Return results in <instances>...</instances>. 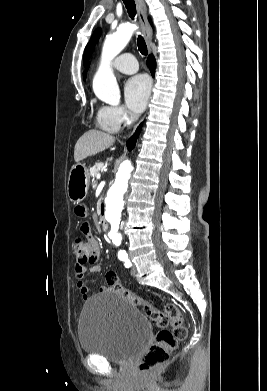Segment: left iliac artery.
Returning a JSON list of instances; mask_svg holds the SVG:
<instances>
[{
	"instance_id": "1",
	"label": "left iliac artery",
	"mask_w": 267,
	"mask_h": 391,
	"mask_svg": "<svg viewBox=\"0 0 267 391\" xmlns=\"http://www.w3.org/2000/svg\"><path fill=\"white\" fill-rule=\"evenodd\" d=\"M121 260H123V259H125V258H127V255H123V256H121V257H119Z\"/></svg>"
}]
</instances>
